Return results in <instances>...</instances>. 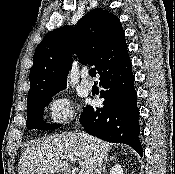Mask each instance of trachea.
Here are the masks:
<instances>
[{"instance_id":"trachea-1","label":"trachea","mask_w":175,"mask_h":174,"mask_svg":"<svg viewBox=\"0 0 175 174\" xmlns=\"http://www.w3.org/2000/svg\"><path fill=\"white\" fill-rule=\"evenodd\" d=\"M89 75H90L91 77L96 76V70H95L94 68H92V69L89 71Z\"/></svg>"}]
</instances>
